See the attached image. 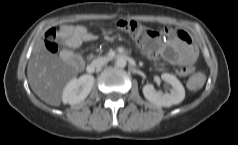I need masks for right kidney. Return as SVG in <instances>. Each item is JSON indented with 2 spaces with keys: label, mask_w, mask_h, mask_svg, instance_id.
<instances>
[{
  "label": "right kidney",
  "mask_w": 238,
  "mask_h": 145,
  "mask_svg": "<svg viewBox=\"0 0 238 145\" xmlns=\"http://www.w3.org/2000/svg\"><path fill=\"white\" fill-rule=\"evenodd\" d=\"M95 79L92 75H82L73 78L63 89L62 101L65 104L76 105L83 102L92 90Z\"/></svg>",
  "instance_id": "1"
}]
</instances>
